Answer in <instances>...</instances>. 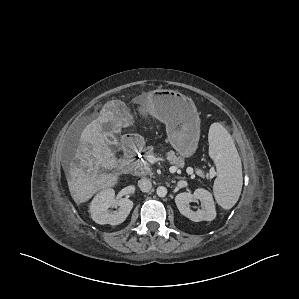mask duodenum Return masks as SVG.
<instances>
[{"instance_id": "410a0bca", "label": "duodenum", "mask_w": 299, "mask_h": 299, "mask_svg": "<svg viewBox=\"0 0 299 299\" xmlns=\"http://www.w3.org/2000/svg\"><path fill=\"white\" fill-rule=\"evenodd\" d=\"M124 147H125V157L118 164V169L121 172H127L129 170L131 161L138 154V148L133 138H128L124 143Z\"/></svg>"}]
</instances>
